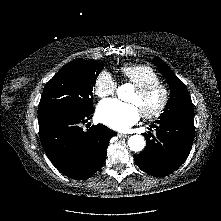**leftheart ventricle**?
Returning a JSON list of instances; mask_svg holds the SVG:
<instances>
[{
	"mask_svg": "<svg viewBox=\"0 0 221 221\" xmlns=\"http://www.w3.org/2000/svg\"><path fill=\"white\" fill-rule=\"evenodd\" d=\"M160 101V93L158 91L152 93L145 99H141L138 97L136 92L134 91L129 98V102L136 104L140 110L141 109H153L155 108Z\"/></svg>",
	"mask_w": 221,
	"mask_h": 221,
	"instance_id": "obj_1",
	"label": "left heart ventricle"
}]
</instances>
